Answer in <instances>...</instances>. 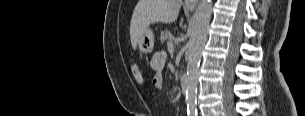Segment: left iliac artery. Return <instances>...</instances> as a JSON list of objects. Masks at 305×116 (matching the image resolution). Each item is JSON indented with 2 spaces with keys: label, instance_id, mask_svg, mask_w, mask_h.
<instances>
[{
  "label": "left iliac artery",
  "instance_id": "1",
  "mask_svg": "<svg viewBox=\"0 0 305 116\" xmlns=\"http://www.w3.org/2000/svg\"><path fill=\"white\" fill-rule=\"evenodd\" d=\"M191 116H197V114H193V115H191Z\"/></svg>",
  "mask_w": 305,
  "mask_h": 116
}]
</instances>
